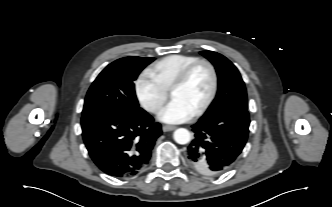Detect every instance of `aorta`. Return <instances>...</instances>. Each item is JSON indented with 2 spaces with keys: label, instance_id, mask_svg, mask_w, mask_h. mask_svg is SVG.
<instances>
[{
  "label": "aorta",
  "instance_id": "1",
  "mask_svg": "<svg viewBox=\"0 0 332 207\" xmlns=\"http://www.w3.org/2000/svg\"><path fill=\"white\" fill-rule=\"evenodd\" d=\"M174 140L181 145L187 144L191 140L190 132L185 128L175 130L173 134Z\"/></svg>",
  "mask_w": 332,
  "mask_h": 207
}]
</instances>
